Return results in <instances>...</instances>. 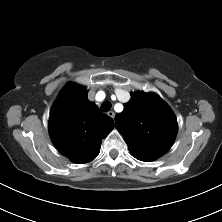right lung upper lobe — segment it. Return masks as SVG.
Listing matches in <instances>:
<instances>
[{
	"mask_svg": "<svg viewBox=\"0 0 222 222\" xmlns=\"http://www.w3.org/2000/svg\"><path fill=\"white\" fill-rule=\"evenodd\" d=\"M87 89L68 83L53 104L49 133L58 151L75 163H88L100 152L103 138L114 128L113 119L87 98Z\"/></svg>",
	"mask_w": 222,
	"mask_h": 222,
	"instance_id": "right-lung-upper-lobe-1",
	"label": "right lung upper lobe"
}]
</instances>
